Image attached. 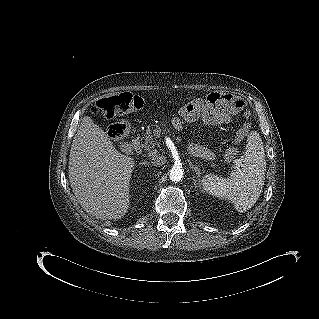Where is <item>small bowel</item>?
<instances>
[{
	"instance_id": "small-bowel-1",
	"label": "small bowel",
	"mask_w": 319,
	"mask_h": 319,
	"mask_svg": "<svg viewBox=\"0 0 319 319\" xmlns=\"http://www.w3.org/2000/svg\"><path fill=\"white\" fill-rule=\"evenodd\" d=\"M235 113V110H226L223 107H219L216 109H212L208 111L207 123L210 125H221L230 121L232 114ZM173 125L176 128L181 127V121L179 118L173 119ZM189 150L191 153L201 156V157H209L210 153L203 147L195 144H189Z\"/></svg>"
}]
</instances>
